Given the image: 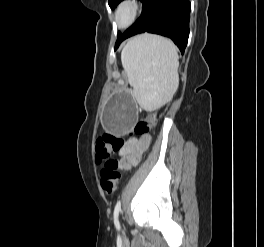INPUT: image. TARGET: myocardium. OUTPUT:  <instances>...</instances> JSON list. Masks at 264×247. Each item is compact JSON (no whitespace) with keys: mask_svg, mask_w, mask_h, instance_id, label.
<instances>
[{"mask_svg":"<svg viewBox=\"0 0 264 247\" xmlns=\"http://www.w3.org/2000/svg\"><path fill=\"white\" fill-rule=\"evenodd\" d=\"M141 3L138 0H122L114 10V22L119 28L131 26L139 17Z\"/></svg>","mask_w":264,"mask_h":247,"instance_id":"f54148a6","label":"myocardium"}]
</instances>
